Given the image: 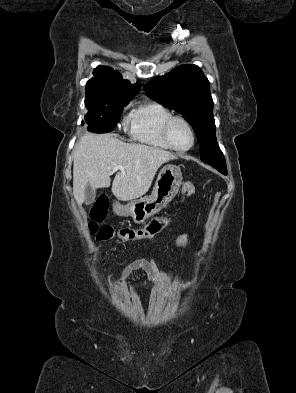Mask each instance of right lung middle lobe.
I'll return each instance as SVG.
<instances>
[{"mask_svg": "<svg viewBox=\"0 0 296 393\" xmlns=\"http://www.w3.org/2000/svg\"><path fill=\"white\" fill-rule=\"evenodd\" d=\"M131 100L114 99L107 101H85L88 112L85 116V122L88 124V130H99L111 132L116 123L119 122L124 107ZM84 125V121H82Z\"/></svg>", "mask_w": 296, "mask_h": 393, "instance_id": "dd1d6c3e", "label": "right lung middle lobe"}]
</instances>
